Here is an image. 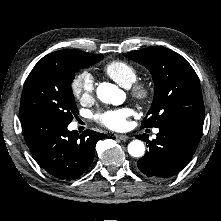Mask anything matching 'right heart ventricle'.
<instances>
[{
	"mask_svg": "<svg viewBox=\"0 0 221 221\" xmlns=\"http://www.w3.org/2000/svg\"><path fill=\"white\" fill-rule=\"evenodd\" d=\"M104 73L122 87H130L138 77L136 68L128 62L116 60L103 67Z\"/></svg>",
	"mask_w": 221,
	"mask_h": 221,
	"instance_id": "obj_1",
	"label": "right heart ventricle"
}]
</instances>
